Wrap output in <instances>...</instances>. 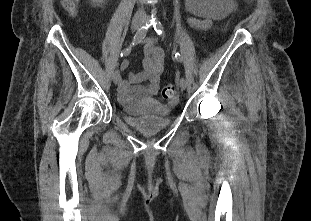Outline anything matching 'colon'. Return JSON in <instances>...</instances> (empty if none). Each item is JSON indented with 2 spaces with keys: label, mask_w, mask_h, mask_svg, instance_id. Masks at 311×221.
Returning a JSON list of instances; mask_svg holds the SVG:
<instances>
[{
  "label": "colon",
  "mask_w": 311,
  "mask_h": 221,
  "mask_svg": "<svg viewBox=\"0 0 311 221\" xmlns=\"http://www.w3.org/2000/svg\"><path fill=\"white\" fill-rule=\"evenodd\" d=\"M61 6L71 16L75 17L79 10V0H60ZM163 99L168 103H174L177 98V88L174 84H167L162 90Z\"/></svg>",
  "instance_id": "1"
}]
</instances>
